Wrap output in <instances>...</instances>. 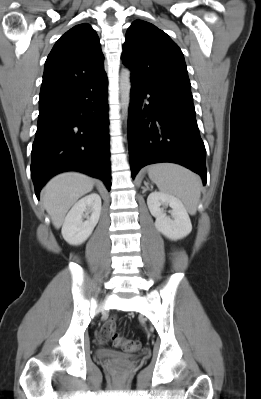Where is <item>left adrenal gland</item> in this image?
I'll use <instances>...</instances> for the list:
<instances>
[{
    "mask_svg": "<svg viewBox=\"0 0 261 399\" xmlns=\"http://www.w3.org/2000/svg\"><path fill=\"white\" fill-rule=\"evenodd\" d=\"M145 186H146V187H142L143 192H145V191H147V190L149 189L148 184H147L146 182H145Z\"/></svg>",
    "mask_w": 261,
    "mask_h": 399,
    "instance_id": "obj_1",
    "label": "left adrenal gland"
}]
</instances>
